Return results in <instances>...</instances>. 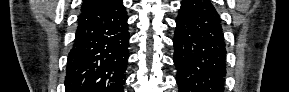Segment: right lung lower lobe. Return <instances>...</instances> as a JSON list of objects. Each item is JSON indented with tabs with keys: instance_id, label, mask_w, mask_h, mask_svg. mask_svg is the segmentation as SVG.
<instances>
[{
	"instance_id": "1",
	"label": "right lung lower lobe",
	"mask_w": 289,
	"mask_h": 92,
	"mask_svg": "<svg viewBox=\"0 0 289 92\" xmlns=\"http://www.w3.org/2000/svg\"><path fill=\"white\" fill-rule=\"evenodd\" d=\"M127 19L122 0L81 12L68 55L66 92H123Z\"/></svg>"
}]
</instances>
